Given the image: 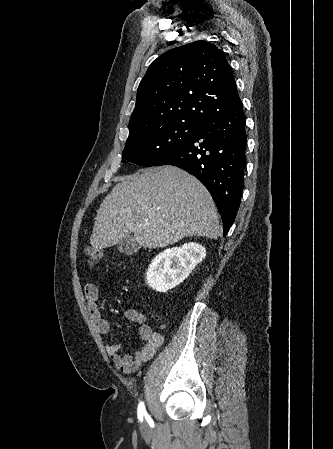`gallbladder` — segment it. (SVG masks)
I'll return each instance as SVG.
<instances>
[{
    "label": "gallbladder",
    "instance_id": "obj_1",
    "mask_svg": "<svg viewBox=\"0 0 333 449\" xmlns=\"http://www.w3.org/2000/svg\"><path fill=\"white\" fill-rule=\"evenodd\" d=\"M138 249L139 246L132 236L125 237L118 246V250L126 255L134 254Z\"/></svg>",
    "mask_w": 333,
    "mask_h": 449
}]
</instances>
